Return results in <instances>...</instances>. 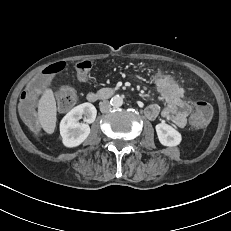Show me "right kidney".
<instances>
[{
    "mask_svg": "<svg viewBox=\"0 0 231 231\" xmlns=\"http://www.w3.org/2000/svg\"><path fill=\"white\" fill-rule=\"evenodd\" d=\"M97 110L91 103H83L69 111L60 122L62 143L68 148L82 144L90 134L91 124L95 121ZM83 118L84 122L79 120Z\"/></svg>",
    "mask_w": 231,
    "mask_h": 231,
    "instance_id": "ca27d5eb",
    "label": "right kidney"
}]
</instances>
